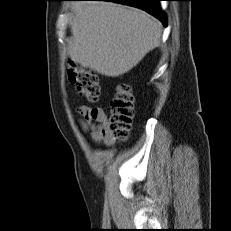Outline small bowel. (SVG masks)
I'll use <instances>...</instances> for the list:
<instances>
[{"mask_svg":"<svg viewBox=\"0 0 231 231\" xmlns=\"http://www.w3.org/2000/svg\"><path fill=\"white\" fill-rule=\"evenodd\" d=\"M78 112L81 115V128L93 141L112 143L110 122L102 108L83 105L78 108Z\"/></svg>","mask_w":231,"mask_h":231,"instance_id":"1","label":"small bowel"}]
</instances>
